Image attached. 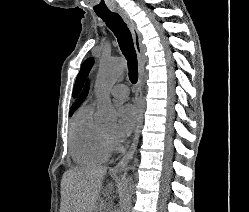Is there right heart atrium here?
I'll return each instance as SVG.
<instances>
[{
    "mask_svg": "<svg viewBox=\"0 0 249 212\" xmlns=\"http://www.w3.org/2000/svg\"><path fill=\"white\" fill-rule=\"evenodd\" d=\"M103 145H104L106 152L109 153L111 149H110V146L108 145V143L106 141H103Z\"/></svg>",
    "mask_w": 249,
    "mask_h": 212,
    "instance_id": "right-heart-atrium-1",
    "label": "right heart atrium"
}]
</instances>
